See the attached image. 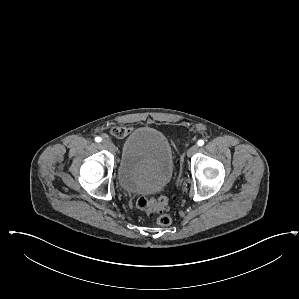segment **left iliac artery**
Returning a JSON list of instances; mask_svg holds the SVG:
<instances>
[{
    "mask_svg": "<svg viewBox=\"0 0 299 299\" xmlns=\"http://www.w3.org/2000/svg\"><path fill=\"white\" fill-rule=\"evenodd\" d=\"M198 146H203L204 145V140L200 139L198 142H197Z\"/></svg>",
    "mask_w": 299,
    "mask_h": 299,
    "instance_id": "obj_1",
    "label": "left iliac artery"
}]
</instances>
